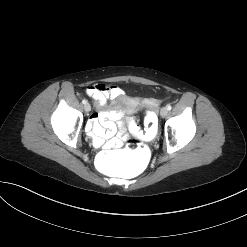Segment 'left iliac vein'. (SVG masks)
Masks as SVG:
<instances>
[{
    "mask_svg": "<svg viewBox=\"0 0 247 247\" xmlns=\"http://www.w3.org/2000/svg\"><path fill=\"white\" fill-rule=\"evenodd\" d=\"M167 114H168V109H167L166 107H163V108L161 109V111H160V115H161L162 117H166Z\"/></svg>",
    "mask_w": 247,
    "mask_h": 247,
    "instance_id": "left-iliac-vein-1",
    "label": "left iliac vein"
}]
</instances>
